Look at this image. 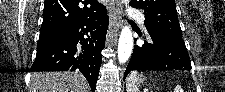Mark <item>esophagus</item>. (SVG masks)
I'll use <instances>...</instances> for the list:
<instances>
[{
	"label": "esophagus",
	"mask_w": 225,
	"mask_h": 92,
	"mask_svg": "<svg viewBox=\"0 0 225 92\" xmlns=\"http://www.w3.org/2000/svg\"><path fill=\"white\" fill-rule=\"evenodd\" d=\"M121 10L122 7L120 0H111L109 6V27L106 37L107 43H109L111 39L118 37L121 25L120 21Z\"/></svg>",
	"instance_id": "esophagus-1"
}]
</instances>
